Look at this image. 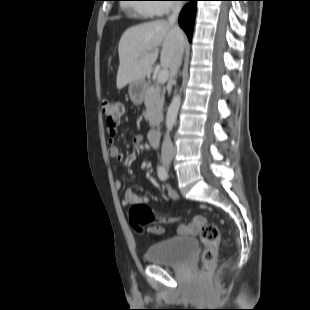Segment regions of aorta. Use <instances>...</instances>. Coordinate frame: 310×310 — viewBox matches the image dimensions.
Returning a JSON list of instances; mask_svg holds the SVG:
<instances>
[{
  "mask_svg": "<svg viewBox=\"0 0 310 310\" xmlns=\"http://www.w3.org/2000/svg\"><path fill=\"white\" fill-rule=\"evenodd\" d=\"M180 104H181V96L177 94L173 97L172 102L167 110L165 121L167 133H169L173 129L180 108Z\"/></svg>",
  "mask_w": 310,
  "mask_h": 310,
  "instance_id": "762f6f07",
  "label": "aorta"
}]
</instances>
